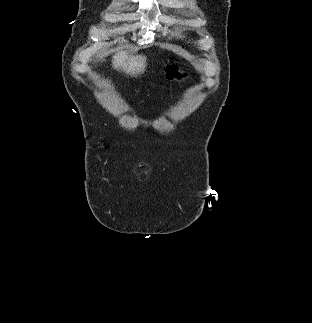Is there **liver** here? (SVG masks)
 Wrapping results in <instances>:
<instances>
[{"label":"liver","instance_id":"6515ba94","mask_svg":"<svg viewBox=\"0 0 312 323\" xmlns=\"http://www.w3.org/2000/svg\"><path fill=\"white\" fill-rule=\"evenodd\" d=\"M112 64L115 70H123L125 74H129L132 78H136L137 74H143L146 68L145 56H133L128 52H118L113 56Z\"/></svg>","mask_w":312,"mask_h":323}]
</instances>
